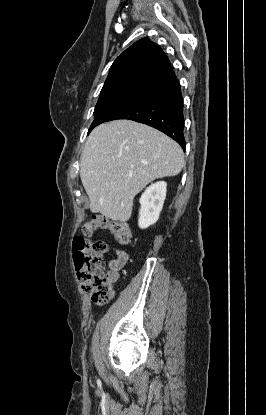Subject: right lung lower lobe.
I'll return each mask as SVG.
<instances>
[{"label":"right lung lower lobe","mask_w":266,"mask_h":415,"mask_svg":"<svg viewBox=\"0 0 266 415\" xmlns=\"http://www.w3.org/2000/svg\"><path fill=\"white\" fill-rule=\"evenodd\" d=\"M117 119L133 120L154 127L174 139L185 150L183 98L177 78L115 113L108 121Z\"/></svg>","instance_id":"obj_1"}]
</instances>
